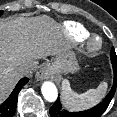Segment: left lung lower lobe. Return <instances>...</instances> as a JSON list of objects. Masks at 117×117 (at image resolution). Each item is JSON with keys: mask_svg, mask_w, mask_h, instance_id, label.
Instances as JSON below:
<instances>
[{"mask_svg": "<svg viewBox=\"0 0 117 117\" xmlns=\"http://www.w3.org/2000/svg\"><path fill=\"white\" fill-rule=\"evenodd\" d=\"M113 65V71H114V83L113 86L108 93V95L103 99L101 103L96 105L95 107L81 112H69L65 109H63L59 98L57 101L53 104V106L50 108V115L51 117H100L105 110L107 109L109 103L111 102L116 86H117V62L112 63Z\"/></svg>", "mask_w": 117, "mask_h": 117, "instance_id": "1", "label": "left lung lower lobe"}]
</instances>
